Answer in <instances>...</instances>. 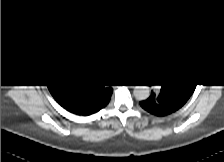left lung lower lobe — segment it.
<instances>
[{
  "mask_svg": "<svg viewBox=\"0 0 224 162\" xmlns=\"http://www.w3.org/2000/svg\"><path fill=\"white\" fill-rule=\"evenodd\" d=\"M191 94L184 88L162 87L159 94L152 92L147 100L140 102V105L151 114L165 116L181 108Z\"/></svg>",
  "mask_w": 224,
  "mask_h": 162,
  "instance_id": "left-lung-lower-lobe-1",
  "label": "left lung lower lobe"
}]
</instances>
